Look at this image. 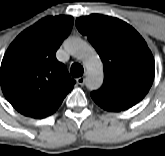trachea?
<instances>
[{"label": "trachea", "instance_id": "1", "mask_svg": "<svg viewBox=\"0 0 165 156\" xmlns=\"http://www.w3.org/2000/svg\"><path fill=\"white\" fill-rule=\"evenodd\" d=\"M71 75L72 77H80L83 75V67L79 63H73L71 66Z\"/></svg>", "mask_w": 165, "mask_h": 156}]
</instances>
